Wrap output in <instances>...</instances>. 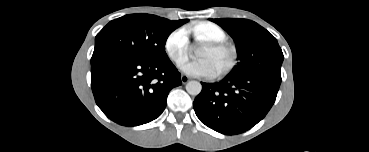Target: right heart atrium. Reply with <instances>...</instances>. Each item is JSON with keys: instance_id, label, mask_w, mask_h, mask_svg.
Instances as JSON below:
<instances>
[{"instance_id": "d8ad5b80", "label": "right heart atrium", "mask_w": 369, "mask_h": 152, "mask_svg": "<svg viewBox=\"0 0 369 152\" xmlns=\"http://www.w3.org/2000/svg\"><path fill=\"white\" fill-rule=\"evenodd\" d=\"M165 53L176 65L183 62L189 52L188 33L184 28H178L172 31L165 40Z\"/></svg>"}]
</instances>
